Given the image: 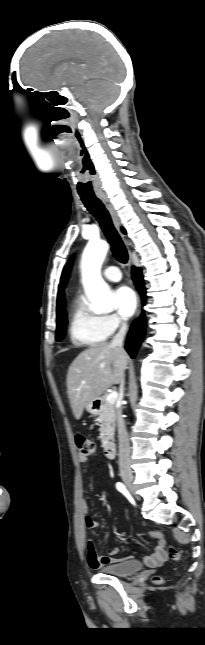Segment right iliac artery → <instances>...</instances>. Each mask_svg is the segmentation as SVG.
Listing matches in <instances>:
<instances>
[{"mask_svg": "<svg viewBox=\"0 0 205 645\" xmlns=\"http://www.w3.org/2000/svg\"><path fill=\"white\" fill-rule=\"evenodd\" d=\"M116 488L118 489V491H120L124 495H126V496L128 495V491H127V489H126V487H125V485L123 483L118 482L116 484Z\"/></svg>", "mask_w": 205, "mask_h": 645, "instance_id": "82829eb1", "label": "right iliac artery"}]
</instances>
